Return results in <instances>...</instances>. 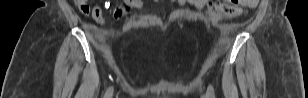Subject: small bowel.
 <instances>
[{
	"mask_svg": "<svg viewBox=\"0 0 308 98\" xmlns=\"http://www.w3.org/2000/svg\"><path fill=\"white\" fill-rule=\"evenodd\" d=\"M171 3L173 5H176L179 8L185 7L186 4H190L193 7L200 9L206 6L207 1L206 0H172ZM132 6L135 9H141L143 7V2L141 0H130L127 1V4L119 9H123L125 12L128 10V7ZM256 5L250 6L249 8H252ZM92 17L94 21L101 27L105 28V19L102 14L101 7L99 4H94L92 7Z\"/></svg>",
	"mask_w": 308,
	"mask_h": 98,
	"instance_id": "c3829d8e",
	"label": "small bowel"
}]
</instances>
